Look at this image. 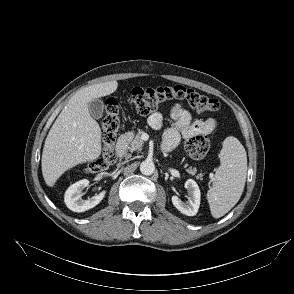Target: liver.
Returning <instances> with one entry per match:
<instances>
[{
  "instance_id": "6515ba94",
  "label": "liver",
  "mask_w": 294,
  "mask_h": 294,
  "mask_svg": "<svg viewBox=\"0 0 294 294\" xmlns=\"http://www.w3.org/2000/svg\"><path fill=\"white\" fill-rule=\"evenodd\" d=\"M117 87V81L88 86L65 105L46 137L42 152V174L49 187L67 170L100 156L101 129L91 117L88 103L112 94Z\"/></svg>"
}]
</instances>
